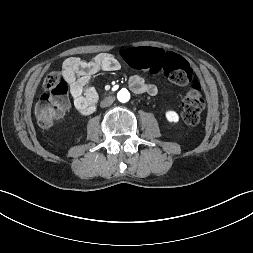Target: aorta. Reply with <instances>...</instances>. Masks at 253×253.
Wrapping results in <instances>:
<instances>
[{"label": "aorta", "instance_id": "obj_1", "mask_svg": "<svg viewBox=\"0 0 253 253\" xmlns=\"http://www.w3.org/2000/svg\"><path fill=\"white\" fill-rule=\"evenodd\" d=\"M117 98L122 103L128 102L130 99V93L127 89H121L117 94Z\"/></svg>", "mask_w": 253, "mask_h": 253}]
</instances>
